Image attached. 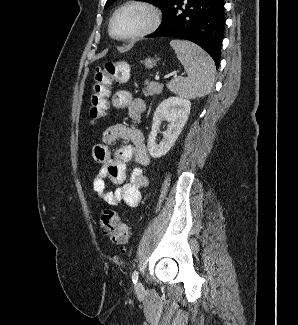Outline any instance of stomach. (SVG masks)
Masks as SVG:
<instances>
[{"label":"stomach","instance_id":"stomach-1","mask_svg":"<svg viewBox=\"0 0 298 325\" xmlns=\"http://www.w3.org/2000/svg\"><path fill=\"white\" fill-rule=\"evenodd\" d=\"M141 62L145 68H156L160 62V58L159 56H145Z\"/></svg>","mask_w":298,"mask_h":325}]
</instances>
